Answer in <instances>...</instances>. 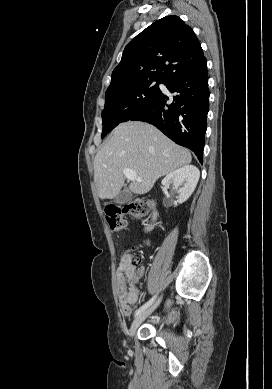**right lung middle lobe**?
<instances>
[{"label":"right lung middle lobe","instance_id":"dd1d6c3e","mask_svg":"<svg viewBox=\"0 0 272 389\" xmlns=\"http://www.w3.org/2000/svg\"><path fill=\"white\" fill-rule=\"evenodd\" d=\"M156 81L154 84L153 82ZM159 80H144L106 92L102 112L104 138L119 123L130 120L138 111L153 101L161 92Z\"/></svg>","mask_w":272,"mask_h":389}]
</instances>
